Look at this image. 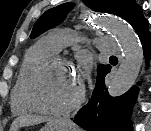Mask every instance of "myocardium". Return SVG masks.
I'll return each instance as SVG.
<instances>
[{"label":"myocardium","instance_id":"1","mask_svg":"<svg viewBox=\"0 0 151 131\" xmlns=\"http://www.w3.org/2000/svg\"><path fill=\"white\" fill-rule=\"evenodd\" d=\"M55 65H64L74 69L72 63L69 60L62 56L54 54L49 57H46L31 69L25 85V97L30 107L34 111L46 115H62L71 112L78 106H80L85 96V88L83 83H81L77 95L71 101H69L67 104L63 106L49 107L40 101L35 90L36 81L43 73H45L47 70H49Z\"/></svg>","mask_w":151,"mask_h":131}]
</instances>
